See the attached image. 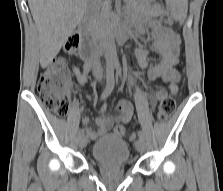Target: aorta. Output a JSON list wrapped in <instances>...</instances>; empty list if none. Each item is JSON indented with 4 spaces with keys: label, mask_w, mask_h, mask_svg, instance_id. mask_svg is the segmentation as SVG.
I'll return each instance as SVG.
<instances>
[{
    "label": "aorta",
    "mask_w": 223,
    "mask_h": 191,
    "mask_svg": "<svg viewBox=\"0 0 223 191\" xmlns=\"http://www.w3.org/2000/svg\"><path fill=\"white\" fill-rule=\"evenodd\" d=\"M102 43L107 64L116 65L118 63V57L113 35L110 32H106L102 38Z\"/></svg>",
    "instance_id": "aorta-1"
}]
</instances>
